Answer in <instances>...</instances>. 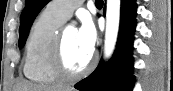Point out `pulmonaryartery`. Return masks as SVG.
<instances>
[{"label": "pulmonary artery", "mask_w": 173, "mask_h": 91, "mask_svg": "<svg viewBox=\"0 0 173 91\" xmlns=\"http://www.w3.org/2000/svg\"><path fill=\"white\" fill-rule=\"evenodd\" d=\"M82 3V0H56L49 3L48 9L60 19L66 21Z\"/></svg>", "instance_id": "e3ab8cb5"}]
</instances>
